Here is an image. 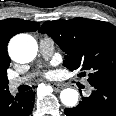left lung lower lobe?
Returning <instances> with one entry per match:
<instances>
[{
  "instance_id": "0a47b994",
  "label": "left lung lower lobe",
  "mask_w": 116,
  "mask_h": 116,
  "mask_svg": "<svg viewBox=\"0 0 116 116\" xmlns=\"http://www.w3.org/2000/svg\"><path fill=\"white\" fill-rule=\"evenodd\" d=\"M94 91L74 108H65L66 116H116V83L91 84Z\"/></svg>"
}]
</instances>
